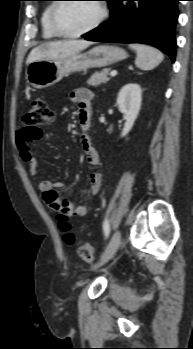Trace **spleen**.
Instances as JSON below:
<instances>
[{
    "instance_id": "3e777b00",
    "label": "spleen",
    "mask_w": 193,
    "mask_h": 349,
    "mask_svg": "<svg viewBox=\"0 0 193 349\" xmlns=\"http://www.w3.org/2000/svg\"><path fill=\"white\" fill-rule=\"evenodd\" d=\"M129 47L136 51L135 65L141 70H152L164 59L163 53L154 47L143 44H130Z\"/></svg>"
}]
</instances>
